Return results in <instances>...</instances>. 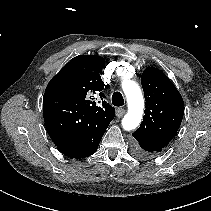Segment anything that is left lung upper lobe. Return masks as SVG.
Listing matches in <instances>:
<instances>
[{
    "mask_svg": "<svg viewBox=\"0 0 211 211\" xmlns=\"http://www.w3.org/2000/svg\"><path fill=\"white\" fill-rule=\"evenodd\" d=\"M145 115L132 133L136 147L160 153L176 135L184 114L183 99L169 78L159 69L148 67L141 76Z\"/></svg>",
    "mask_w": 211,
    "mask_h": 211,
    "instance_id": "5c2ea615",
    "label": "left lung upper lobe"
}]
</instances>
